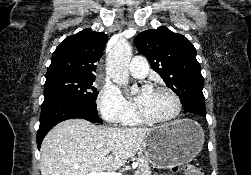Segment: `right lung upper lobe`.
I'll list each match as a JSON object with an SVG mask.
<instances>
[{"label": "right lung upper lobe", "mask_w": 251, "mask_h": 175, "mask_svg": "<svg viewBox=\"0 0 251 175\" xmlns=\"http://www.w3.org/2000/svg\"><path fill=\"white\" fill-rule=\"evenodd\" d=\"M108 36L86 28L68 36L56 48L46 77H95L96 65L103 54Z\"/></svg>", "instance_id": "cb5924a9"}]
</instances>
